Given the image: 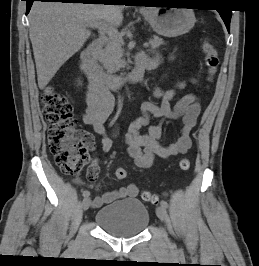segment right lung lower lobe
Listing matches in <instances>:
<instances>
[{"instance_id":"1","label":"right lung lower lobe","mask_w":259,"mask_h":266,"mask_svg":"<svg viewBox=\"0 0 259 266\" xmlns=\"http://www.w3.org/2000/svg\"><path fill=\"white\" fill-rule=\"evenodd\" d=\"M27 2V11L26 14L29 13L32 3L34 1H42V2H62V3H84V4H107V3H118L123 0H24ZM113 1V2H110Z\"/></svg>"}]
</instances>
